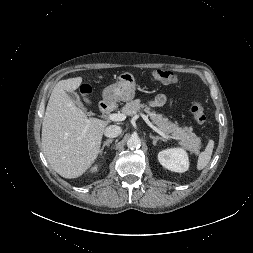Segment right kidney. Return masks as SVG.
<instances>
[{
	"instance_id": "right-kidney-1",
	"label": "right kidney",
	"mask_w": 253,
	"mask_h": 253,
	"mask_svg": "<svg viewBox=\"0 0 253 253\" xmlns=\"http://www.w3.org/2000/svg\"><path fill=\"white\" fill-rule=\"evenodd\" d=\"M91 171H92V172L97 171V166L93 167V168L91 169Z\"/></svg>"
}]
</instances>
